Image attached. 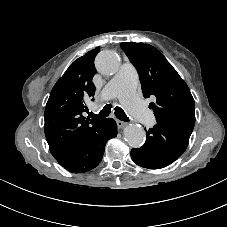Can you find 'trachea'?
Instances as JSON below:
<instances>
[{
    "mask_svg": "<svg viewBox=\"0 0 227 227\" xmlns=\"http://www.w3.org/2000/svg\"><path fill=\"white\" fill-rule=\"evenodd\" d=\"M110 113H111V105L107 104L98 114H94L93 112H90L89 116L92 118L94 117L105 118L109 116ZM114 114L121 121H125V122L129 121V117H127L124 110L121 109L120 107L115 108Z\"/></svg>",
    "mask_w": 227,
    "mask_h": 227,
    "instance_id": "1",
    "label": "trachea"
}]
</instances>
